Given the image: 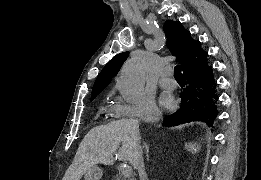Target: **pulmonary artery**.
<instances>
[{
    "mask_svg": "<svg viewBox=\"0 0 261 180\" xmlns=\"http://www.w3.org/2000/svg\"><path fill=\"white\" fill-rule=\"evenodd\" d=\"M172 69H164L161 73L160 86L164 89L172 90L176 88V82L172 78Z\"/></svg>",
    "mask_w": 261,
    "mask_h": 180,
    "instance_id": "obj_1",
    "label": "pulmonary artery"
}]
</instances>
